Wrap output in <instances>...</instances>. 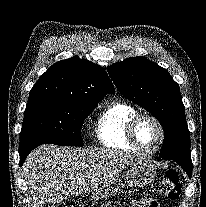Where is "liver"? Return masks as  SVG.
<instances>
[{
    "label": "liver",
    "instance_id": "6515ba94",
    "mask_svg": "<svg viewBox=\"0 0 206 207\" xmlns=\"http://www.w3.org/2000/svg\"><path fill=\"white\" fill-rule=\"evenodd\" d=\"M137 159L135 155L113 150L41 145L23 164L32 207H44L86 193H91L92 199H102L105 185Z\"/></svg>",
    "mask_w": 206,
    "mask_h": 207
}]
</instances>
